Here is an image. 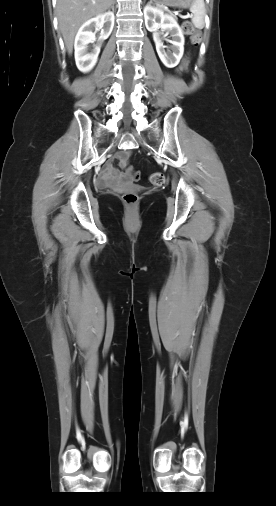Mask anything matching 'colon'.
Segmentation results:
<instances>
[{
    "mask_svg": "<svg viewBox=\"0 0 276 506\" xmlns=\"http://www.w3.org/2000/svg\"><path fill=\"white\" fill-rule=\"evenodd\" d=\"M182 29L184 34L190 38L193 44H198L201 41L200 32L195 29L190 22H184ZM127 171L131 175L133 181H138L140 179L141 173L139 170L129 167ZM149 180L151 184L155 186H161L165 183V177L160 172L152 173ZM122 200L126 205L134 207L138 203V195L134 192H126L122 195Z\"/></svg>",
    "mask_w": 276,
    "mask_h": 506,
    "instance_id": "obj_1",
    "label": "colon"
}]
</instances>
